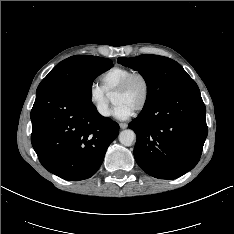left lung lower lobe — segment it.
<instances>
[{
    "instance_id": "1",
    "label": "left lung lower lobe",
    "mask_w": 234,
    "mask_h": 234,
    "mask_svg": "<svg viewBox=\"0 0 234 234\" xmlns=\"http://www.w3.org/2000/svg\"><path fill=\"white\" fill-rule=\"evenodd\" d=\"M206 108L196 83L167 96L129 123L137 135L134 157L149 175L175 179L198 163L207 137Z\"/></svg>"
}]
</instances>
